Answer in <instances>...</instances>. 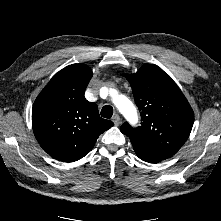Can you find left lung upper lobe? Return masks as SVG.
Instances as JSON below:
<instances>
[{"label":"left lung upper lobe","mask_w":221,"mask_h":221,"mask_svg":"<svg viewBox=\"0 0 221 221\" xmlns=\"http://www.w3.org/2000/svg\"><path fill=\"white\" fill-rule=\"evenodd\" d=\"M136 105L141 112V126H121L131 142L163 158L172 157L190 135L194 113L176 83L157 65H144L127 75Z\"/></svg>","instance_id":"1"}]
</instances>
